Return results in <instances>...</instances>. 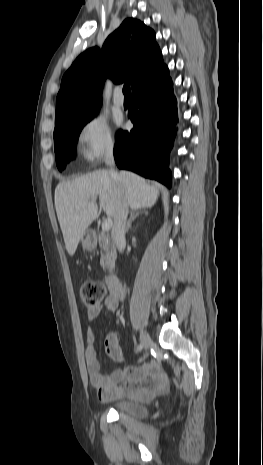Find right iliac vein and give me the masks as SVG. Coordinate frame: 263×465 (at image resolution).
I'll return each mask as SVG.
<instances>
[{
  "mask_svg": "<svg viewBox=\"0 0 263 465\" xmlns=\"http://www.w3.org/2000/svg\"><path fill=\"white\" fill-rule=\"evenodd\" d=\"M140 341H141L142 347L145 350L148 349L150 347V345H151V338H150L149 334L145 330H142L140 332Z\"/></svg>",
  "mask_w": 263,
  "mask_h": 465,
  "instance_id": "1",
  "label": "right iliac vein"
}]
</instances>
